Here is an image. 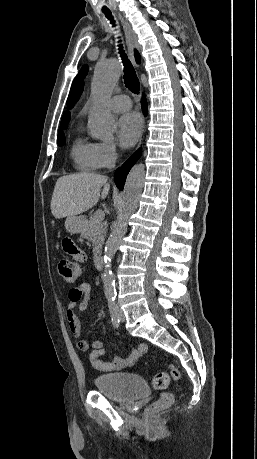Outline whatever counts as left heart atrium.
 Segmentation results:
<instances>
[{
  "label": "left heart atrium",
  "instance_id": "obj_1",
  "mask_svg": "<svg viewBox=\"0 0 257 459\" xmlns=\"http://www.w3.org/2000/svg\"><path fill=\"white\" fill-rule=\"evenodd\" d=\"M142 129V121L138 114H124L118 121L117 135L124 147H131L138 140Z\"/></svg>",
  "mask_w": 257,
  "mask_h": 459
}]
</instances>
